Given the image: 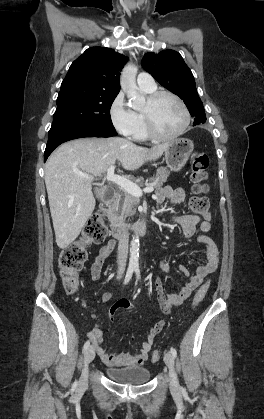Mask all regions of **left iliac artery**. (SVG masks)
I'll list each match as a JSON object with an SVG mask.
<instances>
[{
	"instance_id": "44dca946",
	"label": "left iliac artery",
	"mask_w": 264,
	"mask_h": 419,
	"mask_svg": "<svg viewBox=\"0 0 264 419\" xmlns=\"http://www.w3.org/2000/svg\"><path fill=\"white\" fill-rule=\"evenodd\" d=\"M135 271H136L137 277L140 278L139 268L138 267L135 268ZM170 352H171V354L173 355L174 358L177 356V352H176V350L173 347H171Z\"/></svg>"
}]
</instances>
